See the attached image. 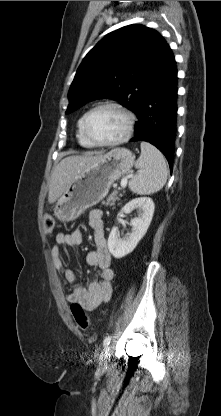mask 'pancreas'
I'll use <instances>...</instances> for the list:
<instances>
[{
  "instance_id": "pancreas-1",
  "label": "pancreas",
  "mask_w": 221,
  "mask_h": 416,
  "mask_svg": "<svg viewBox=\"0 0 221 416\" xmlns=\"http://www.w3.org/2000/svg\"><path fill=\"white\" fill-rule=\"evenodd\" d=\"M117 194H118L117 191H114L113 193H111L108 196V198L106 199V201H103L102 202V205H105V206H114L115 205V202L119 200V197H118Z\"/></svg>"
}]
</instances>
